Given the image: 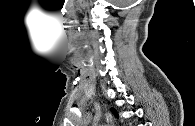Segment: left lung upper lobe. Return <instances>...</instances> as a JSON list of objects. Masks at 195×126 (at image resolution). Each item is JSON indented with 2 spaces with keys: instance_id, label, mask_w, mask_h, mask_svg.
Wrapping results in <instances>:
<instances>
[{
  "instance_id": "left-lung-upper-lobe-1",
  "label": "left lung upper lobe",
  "mask_w": 195,
  "mask_h": 126,
  "mask_svg": "<svg viewBox=\"0 0 195 126\" xmlns=\"http://www.w3.org/2000/svg\"><path fill=\"white\" fill-rule=\"evenodd\" d=\"M111 111H112V113H113L116 117H118V114H117V112H116V110H115L114 108H111Z\"/></svg>"
}]
</instances>
